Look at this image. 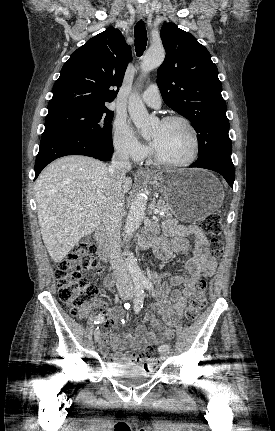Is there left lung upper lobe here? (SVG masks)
<instances>
[{
    "instance_id": "1",
    "label": "left lung upper lobe",
    "mask_w": 275,
    "mask_h": 431,
    "mask_svg": "<svg viewBox=\"0 0 275 431\" xmlns=\"http://www.w3.org/2000/svg\"><path fill=\"white\" fill-rule=\"evenodd\" d=\"M160 35L166 56L157 71V84L164 102L193 124L198 135L197 161L230 156L226 103L210 53L174 23L164 24Z\"/></svg>"
}]
</instances>
